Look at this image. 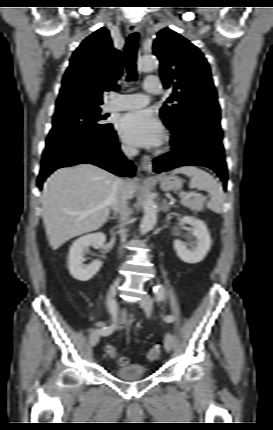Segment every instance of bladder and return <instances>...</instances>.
<instances>
[{"mask_svg":"<svg viewBox=\"0 0 273 430\" xmlns=\"http://www.w3.org/2000/svg\"><path fill=\"white\" fill-rule=\"evenodd\" d=\"M146 373V367L138 363L126 364L114 371L116 377L126 381L141 379L146 376Z\"/></svg>","mask_w":273,"mask_h":430,"instance_id":"31cf9c89","label":"bladder"}]
</instances>
